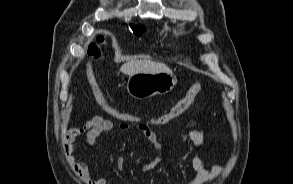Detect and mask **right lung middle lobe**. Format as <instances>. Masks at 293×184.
<instances>
[{
  "label": "right lung middle lobe",
  "mask_w": 293,
  "mask_h": 184,
  "mask_svg": "<svg viewBox=\"0 0 293 184\" xmlns=\"http://www.w3.org/2000/svg\"><path fill=\"white\" fill-rule=\"evenodd\" d=\"M131 28L137 36H140L142 34V31L140 28L133 26V25H131Z\"/></svg>",
  "instance_id": "dd1d6c3e"
}]
</instances>
